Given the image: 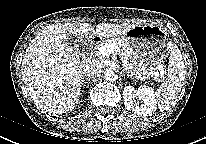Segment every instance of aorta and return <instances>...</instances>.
<instances>
[{"mask_svg": "<svg viewBox=\"0 0 206 144\" xmlns=\"http://www.w3.org/2000/svg\"><path fill=\"white\" fill-rule=\"evenodd\" d=\"M104 78L106 81L114 82L118 79V76L112 70H106L104 73Z\"/></svg>", "mask_w": 206, "mask_h": 144, "instance_id": "aorta-1", "label": "aorta"}]
</instances>
